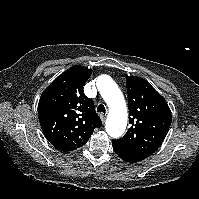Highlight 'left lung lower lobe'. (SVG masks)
Listing matches in <instances>:
<instances>
[{
    "label": "left lung lower lobe",
    "mask_w": 199,
    "mask_h": 199,
    "mask_svg": "<svg viewBox=\"0 0 199 199\" xmlns=\"http://www.w3.org/2000/svg\"><path fill=\"white\" fill-rule=\"evenodd\" d=\"M113 149L121 159L130 163H136L146 158L115 140H113Z\"/></svg>",
    "instance_id": "0a47b994"
}]
</instances>
